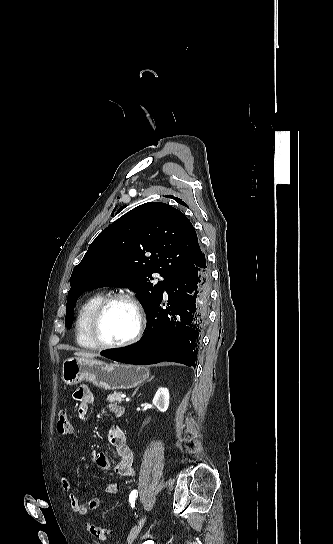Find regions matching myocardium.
Returning a JSON list of instances; mask_svg holds the SVG:
<instances>
[{
	"label": "myocardium",
	"mask_w": 333,
	"mask_h": 544,
	"mask_svg": "<svg viewBox=\"0 0 333 544\" xmlns=\"http://www.w3.org/2000/svg\"><path fill=\"white\" fill-rule=\"evenodd\" d=\"M123 301L130 304L137 317V325L134 333L126 340L118 343H106L99 335V325L105 310L114 302ZM146 326V316L140 302L132 295L127 293H115L104 297L93 310L89 323L88 334L91 341L97 348L101 349H119L130 346L137 342L142 336Z\"/></svg>",
	"instance_id": "obj_1"
}]
</instances>
